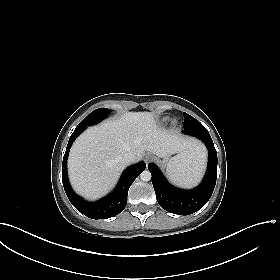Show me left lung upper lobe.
Returning a JSON list of instances; mask_svg holds the SVG:
<instances>
[{
    "instance_id": "obj_1",
    "label": "left lung upper lobe",
    "mask_w": 280,
    "mask_h": 280,
    "mask_svg": "<svg viewBox=\"0 0 280 280\" xmlns=\"http://www.w3.org/2000/svg\"><path fill=\"white\" fill-rule=\"evenodd\" d=\"M184 115V130H190V129H200L203 128L204 126L196 120L194 117L190 116L187 113H183Z\"/></svg>"
}]
</instances>
